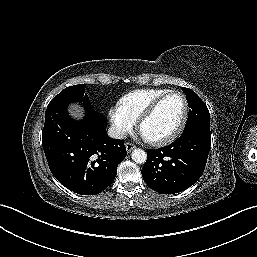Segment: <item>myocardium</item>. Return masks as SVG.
<instances>
[{
    "label": "myocardium",
    "mask_w": 257,
    "mask_h": 257,
    "mask_svg": "<svg viewBox=\"0 0 257 257\" xmlns=\"http://www.w3.org/2000/svg\"><path fill=\"white\" fill-rule=\"evenodd\" d=\"M177 94L181 96L184 104V110H183V115L182 118L176 127V129L169 134L166 137L160 138V139H155V140H149L146 139V141L154 146H163L167 145L171 142H173L183 131L187 119H188V114H189V103L188 100L185 96V94L181 91L178 90H170L167 93L163 94L162 96L158 97L156 100H154L147 108L146 110L140 115V117L137 119V128L138 131L141 133V127L144 124L146 120H148L154 113L155 111L159 108V106L162 104V102L167 99L169 96Z\"/></svg>",
    "instance_id": "f54148a6"
}]
</instances>
